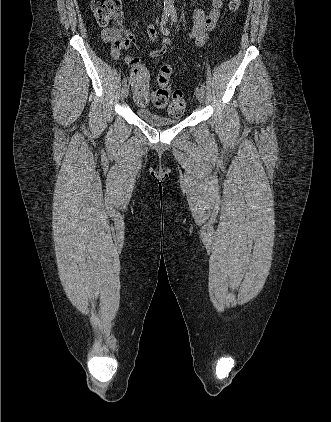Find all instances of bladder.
Here are the masks:
<instances>
[{"label": "bladder", "mask_w": 331, "mask_h": 422, "mask_svg": "<svg viewBox=\"0 0 331 422\" xmlns=\"http://www.w3.org/2000/svg\"><path fill=\"white\" fill-rule=\"evenodd\" d=\"M137 116L154 127L173 126L182 121V116H166L145 108L136 109Z\"/></svg>", "instance_id": "31cf9c89"}]
</instances>
